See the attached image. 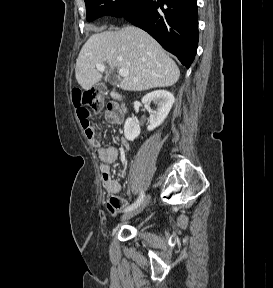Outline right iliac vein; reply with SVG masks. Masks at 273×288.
<instances>
[{"label": "right iliac vein", "mask_w": 273, "mask_h": 288, "mask_svg": "<svg viewBox=\"0 0 273 288\" xmlns=\"http://www.w3.org/2000/svg\"><path fill=\"white\" fill-rule=\"evenodd\" d=\"M149 200H150V195H148L142 202L139 206H137L136 208H134L133 210L131 211H128L126 212L121 220L124 222V221H127L129 219H131L132 217L136 216L137 214L141 213L144 208L148 205L149 203Z\"/></svg>", "instance_id": "1"}]
</instances>
